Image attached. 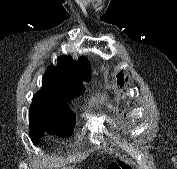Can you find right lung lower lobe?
<instances>
[{
    "label": "right lung lower lobe",
    "instance_id": "98d812e1",
    "mask_svg": "<svg viewBox=\"0 0 177 169\" xmlns=\"http://www.w3.org/2000/svg\"><path fill=\"white\" fill-rule=\"evenodd\" d=\"M40 139H36V138H32V141L35 145H37V143L39 142Z\"/></svg>",
    "mask_w": 177,
    "mask_h": 169
}]
</instances>
